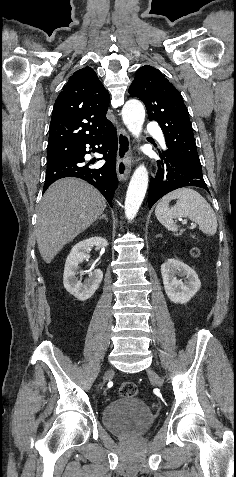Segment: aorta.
Segmentation results:
<instances>
[{"label":"aorta","instance_id":"aorta-1","mask_svg":"<svg viewBox=\"0 0 236 477\" xmlns=\"http://www.w3.org/2000/svg\"><path fill=\"white\" fill-rule=\"evenodd\" d=\"M122 118L129 132L139 137L145 120L143 104L135 99L128 100L122 108ZM148 187V171L142 164L134 171L125 198V216L132 220L138 213Z\"/></svg>","mask_w":236,"mask_h":477}]
</instances>
